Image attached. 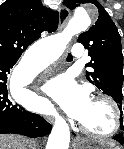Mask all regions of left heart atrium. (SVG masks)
<instances>
[{
    "label": "left heart atrium",
    "mask_w": 124,
    "mask_h": 149,
    "mask_svg": "<svg viewBox=\"0 0 124 149\" xmlns=\"http://www.w3.org/2000/svg\"><path fill=\"white\" fill-rule=\"evenodd\" d=\"M45 90L73 118L81 120L92 100L88 90L80 86L70 75L62 74L50 80Z\"/></svg>",
    "instance_id": "left-heart-atrium-1"
}]
</instances>
